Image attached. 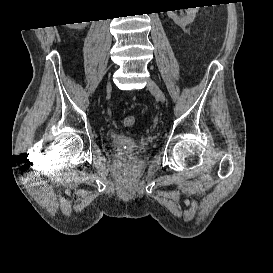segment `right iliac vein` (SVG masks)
<instances>
[{
  "label": "right iliac vein",
  "mask_w": 273,
  "mask_h": 273,
  "mask_svg": "<svg viewBox=\"0 0 273 273\" xmlns=\"http://www.w3.org/2000/svg\"><path fill=\"white\" fill-rule=\"evenodd\" d=\"M106 87L109 89L111 87V82H108Z\"/></svg>",
  "instance_id": "1"
}]
</instances>
